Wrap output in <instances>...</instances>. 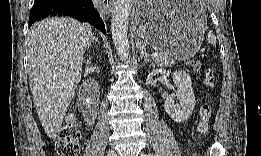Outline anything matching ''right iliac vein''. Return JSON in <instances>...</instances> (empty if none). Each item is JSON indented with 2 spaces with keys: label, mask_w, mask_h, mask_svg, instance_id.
<instances>
[{
  "label": "right iliac vein",
  "mask_w": 261,
  "mask_h": 156,
  "mask_svg": "<svg viewBox=\"0 0 261 156\" xmlns=\"http://www.w3.org/2000/svg\"><path fill=\"white\" fill-rule=\"evenodd\" d=\"M107 156H116L115 150L111 149L107 152Z\"/></svg>",
  "instance_id": "right-iliac-vein-1"
}]
</instances>
